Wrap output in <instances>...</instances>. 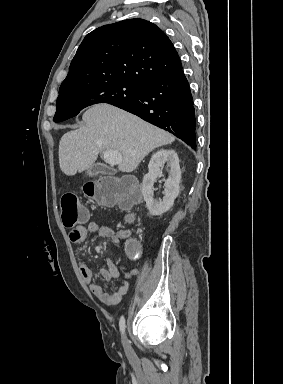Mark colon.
I'll return each instance as SVG.
<instances>
[{
    "mask_svg": "<svg viewBox=\"0 0 283 384\" xmlns=\"http://www.w3.org/2000/svg\"><path fill=\"white\" fill-rule=\"evenodd\" d=\"M84 195L101 206H119L130 208L138 199V192L131 179L118 177H104L91 181L83 187ZM62 221L66 227H74L87 221L88 211L83 208L73 193L63 195L61 199ZM128 254L137 258L141 254L140 246L130 242L127 247Z\"/></svg>",
    "mask_w": 283,
    "mask_h": 384,
    "instance_id": "5ec220e1",
    "label": "colon"
}]
</instances>
